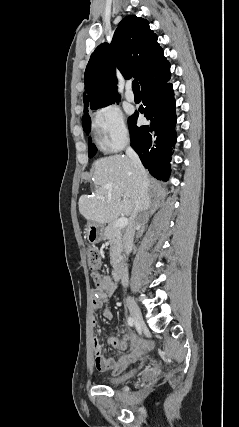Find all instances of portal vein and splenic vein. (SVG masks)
Returning <instances> with one entry per match:
<instances>
[{"instance_id":"18ae733b","label":"portal vein and splenic vein","mask_w":239,"mask_h":427,"mask_svg":"<svg viewBox=\"0 0 239 427\" xmlns=\"http://www.w3.org/2000/svg\"><path fill=\"white\" fill-rule=\"evenodd\" d=\"M128 225V219L125 217H121L119 219L116 220L114 227L118 228V227H125Z\"/></svg>"}]
</instances>
